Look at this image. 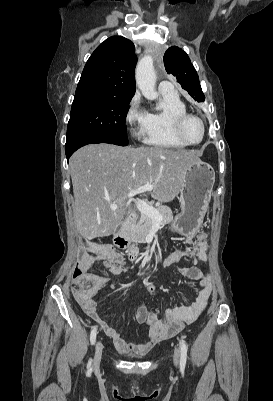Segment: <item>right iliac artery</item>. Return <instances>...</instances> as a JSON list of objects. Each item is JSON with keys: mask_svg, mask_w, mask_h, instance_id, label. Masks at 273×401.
Returning a JSON list of instances; mask_svg holds the SVG:
<instances>
[{"mask_svg": "<svg viewBox=\"0 0 273 401\" xmlns=\"http://www.w3.org/2000/svg\"><path fill=\"white\" fill-rule=\"evenodd\" d=\"M96 335H97V327L95 326L90 334V341H91L92 345L95 343ZM91 364H92V359H89L88 364H87L88 372L92 371Z\"/></svg>", "mask_w": 273, "mask_h": 401, "instance_id": "1", "label": "right iliac artery"}]
</instances>
